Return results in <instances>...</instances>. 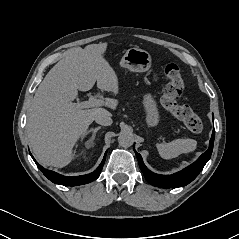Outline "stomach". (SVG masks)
<instances>
[{
  "instance_id": "obj_1",
  "label": "stomach",
  "mask_w": 239,
  "mask_h": 239,
  "mask_svg": "<svg viewBox=\"0 0 239 239\" xmlns=\"http://www.w3.org/2000/svg\"><path fill=\"white\" fill-rule=\"evenodd\" d=\"M152 63L151 55L140 48L128 49L120 61V66L132 72H146ZM143 106L146 112V122L149 126H156L159 122V112L154 97L147 93L143 96Z\"/></svg>"
}]
</instances>
